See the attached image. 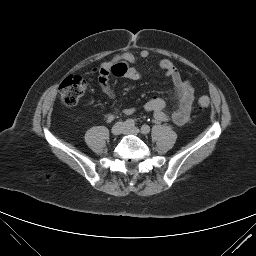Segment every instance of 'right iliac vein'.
I'll return each mask as SVG.
<instances>
[{
    "instance_id": "right-iliac-vein-1",
    "label": "right iliac vein",
    "mask_w": 256,
    "mask_h": 256,
    "mask_svg": "<svg viewBox=\"0 0 256 256\" xmlns=\"http://www.w3.org/2000/svg\"><path fill=\"white\" fill-rule=\"evenodd\" d=\"M125 124L123 122H117L111 129L113 135L118 136L124 132Z\"/></svg>"
}]
</instances>
